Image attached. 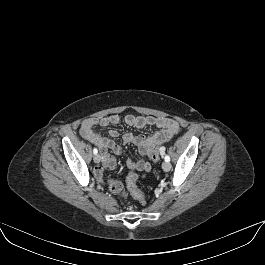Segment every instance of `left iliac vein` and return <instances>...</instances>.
<instances>
[{"label": "left iliac vein", "instance_id": "1", "mask_svg": "<svg viewBox=\"0 0 265 265\" xmlns=\"http://www.w3.org/2000/svg\"><path fill=\"white\" fill-rule=\"evenodd\" d=\"M162 168L164 171H169L171 169V164L169 162H163Z\"/></svg>", "mask_w": 265, "mask_h": 265}]
</instances>
